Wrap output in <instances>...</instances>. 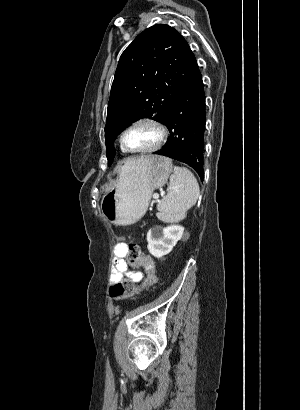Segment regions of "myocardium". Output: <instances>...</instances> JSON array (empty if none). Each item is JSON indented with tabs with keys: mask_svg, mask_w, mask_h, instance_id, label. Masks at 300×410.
<instances>
[{
	"mask_svg": "<svg viewBox=\"0 0 300 410\" xmlns=\"http://www.w3.org/2000/svg\"><path fill=\"white\" fill-rule=\"evenodd\" d=\"M139 124H150L153 125L154 127H156V129L159 132V139L156 142V144H154L153 146L149 147V148H144V149H131L129 147H127L125 145L124 142V137L125 134L134 126L139 125ZM169 132L167 127L165 126V124L163 122H161L160 120L153 118V117H141L138 118L136 120H134L133 122H131L129 125H127L123 131L120 134L119 137V142L121 145L122 150H124L127 153H131V154H146V153H153L156 152L158 150H160L164 144L167 141Z\"/></svg>",
	"mask_w": 300,
	"mask_h": 410,
	"instance_id": "1",
	"label": "myocardium"
}]
</instances>
